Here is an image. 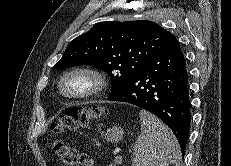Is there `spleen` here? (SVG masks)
<instances>
[{
	"label": "spleen",
	"mask_w": 231,
	"mask_h": 166,
	"mask_svg": "<svg viewBox=\"0 0 231 166\" xmlns=\"http://www.w3.org/2000/svg\"><path fill=\"white\" fill-rule=\"evenodd\" d=\"M139 117L141 134L134 145L132 165H178L181 160V149L173 132L148 111L141 110Z\"/></svg>",
	"instance_id": "obj_1"
}]
</instances>
